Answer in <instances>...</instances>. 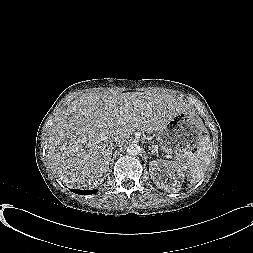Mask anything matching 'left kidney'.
Segmentation results:
<instances>
[{"mask_svg": "<svg viewBox=\"0 0 253 253\" xmlns=\"http://www.w3.org/2000/svg\"><path fill=\"white\" fill-rule=\"evenodd\" d=\"M152 179L166 192H178L184 181V175L179 173L168 161L157 160L151 162ZM162 173V175H161Z\"/></svg>", "mask_w": 253, "mask_h": 253, "instance_id": "5707ae66", "label": "left kidney"}]
</instances>
